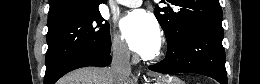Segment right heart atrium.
Segmentation results:
<instances>
[{
  "label": "right heart atrium",
  "instance_id": "d8ad5b80",
  "mask_svg": "<svg viewBox=\"0 0 260 84\" xmlns=\"http://www.w3.org/2000/svg\"><path fill=\"white\" fill-rule=\"evenodd\" d=\"M110 46L111 52L116 59L120 61H128L131 59L130 50L118 33L114 32L112 34Z\"/></svg>",
  "mask_w": 260,
  "mask_h": 84
}]
</instances>
